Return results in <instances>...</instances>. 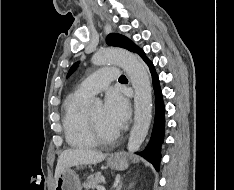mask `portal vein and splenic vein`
I'll return each mask as SVG.
<instances>
[{
  "label": "portal vein and splenic vein",
  "mask_w": 234,
  "mask_h": 190,
  "mask_svg": "<svg viewBox=\"0 0 234 190\" xmlns=\"http://www.w3.org/2000/svg\"><path fill=\"white\" fill-rule=\"evenodd\" d=\"M97 190H106V189H105V187H103V186H98V187H97Z\"/></svg>",
  "instance_id": "18ae733b"
}]
</instances>
